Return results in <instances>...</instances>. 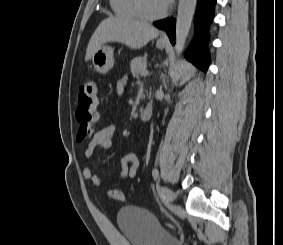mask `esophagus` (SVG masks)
Returning a JSON list of instances; mask_svg holds the SVG:
<instances>
[{"mask_svg": "<svg viewBox=\"0 0 283 245\" xmlns=\"http://www.w3.org/2000/svg\"><path fill=\"white\" fill-rule=\"evenodd\" d=\"M161 40H162V41H167V40H168V39H167V36H166V35H162V36H161Z\"/></svg>", "mask_w": 283, "mask_h": 245, "instance_id": "34e87169", "label": "esophagus"}]
</instances>
